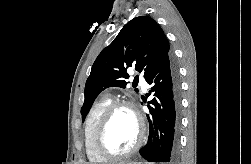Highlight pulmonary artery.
<instances>
[{
  "label": "pulmonary artery",
  "mask_w": 251,
  "mask_h": 164,
  "mask_svg": "<svg viewBox=\"0 0 251 164\" xmlns=\"http://www.w3.org/2000/svg\"><path fill=\"white\" fill-rule=\"evenodd\" d=\"M140 82H141L142 88H143L144 90H146V89H147V84H146V82H145L142 78H140Z\"/></svg>",
  "instance_id": "1"
}]
</instances>
